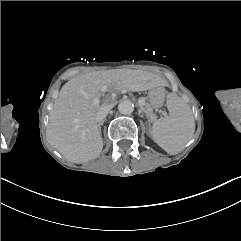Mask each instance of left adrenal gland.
<instances>
[{
  "label": "left adrenal gland",
  "instance_id": "left-adrenal-gland-1",
  "mask_svg": "<svg viewBox=\"0 0 241 241\" xmlns=\"http://www.w3.org/2000/svg\"><path fill=\"white\" fill-rule=\"evenodd\" d=\"M147 120H148V125H149V123H150V119L147 117Z\"/></svg>",
  "mask_w": 241,
  "mask_h": 241
}]
</instances>
